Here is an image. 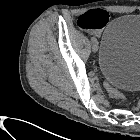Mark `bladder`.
I'll use <instances>...</instances> for the list:
<instances>
[{"label":"bladder","mask_w":140,"mask_h":140,"mask_svg":"<svg viewBox=\"0 0 140 140\" xmlns=\"http://www.w3.org/2000/svg\"><path fill=\"white\" fill-rule=\"evenodd\" d=\"M98 65L117 89L140 90V14L121 15L107 25L101 36Z\"/></svg>","instance_id":"1"}]
</instances>
